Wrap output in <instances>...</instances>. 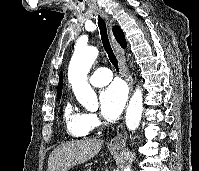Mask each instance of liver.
<instances>
[{"label": "liver", "mask_w": 199, "mask_h": 171, "mask_svg": "<svg viewBox=\"0 0 199 171\" xmlns=\"http://www.w3.org/2000/svg\"><path fill=\"white\" fill-rule=\"evenodd\" d=\"M100 139L66 142L55 148L48 159L47 171H68L77 164L93 158L101 149Z\"/></svg>", "instance_id": "6515ba94"}]
</instances>
